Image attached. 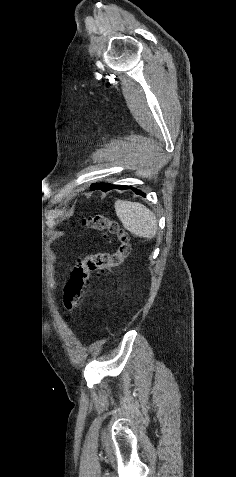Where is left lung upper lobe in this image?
Returning a JSON list of instances; mask_svg holds the SVG:
<instances>
[{"instance_id":"obj_1","label":"left lung upper lobe","mask_w":236,"mask_h":477,"mask_svg":"<svg viewBox=\"0 0 236 477\" xmlns=\"http://www.w3.org/2000/svg\"><path fill=\"white\" fill-rule=\"evenodd\" d=\"M113 186H114L113 184H108V183H97L92 186V190L102 189L103 191H108Z\"/></svg>"}]
</instances>
